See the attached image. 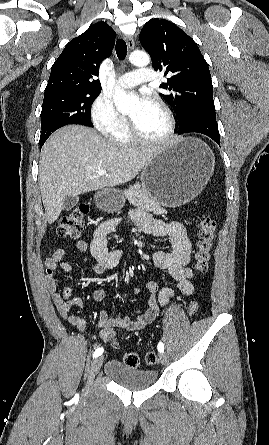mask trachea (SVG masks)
I'll use <instances>...</instances> for the list:
<instances>
[{
  "label": "trachea",
  "mask_w": 269,
  "mask_h": 445,
  "mask_svg": "<svg viewBox=\"0 0 269 445\" xmlns=\"http://www.w3.org/2000/svg\"><path fill=\"white\" fill-rule=\"evenodd\" d=\"M116 54L120 60H123L127 54V45L123 39H118L116 42Z\"/></svg>",
  "instance_id": "3493384b"
}]
</instances>
